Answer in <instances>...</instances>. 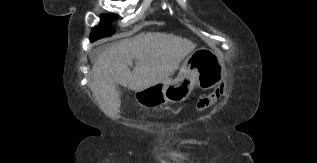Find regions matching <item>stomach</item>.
<instances>
[{"instance_id": "0dacf381", "label": "stomach", "mask_w": 317, "mask_h": 163, "mask_svg": "<svg viewBox=\"0 0 317 163\" xmlns=\"http://www.w3.org/2000/svg\"><path fill=\"white\" fill-rule=\"evenodd\" d=\"M225 77V68L212 50L200 48L184 62L176 78L168 79L137 91V103L144 108L185 101L195 86L203 90L218 86Z\"/></svg>"}]
</instances>
